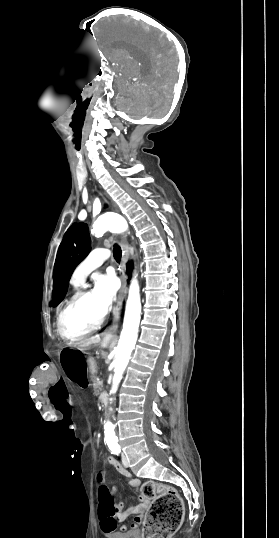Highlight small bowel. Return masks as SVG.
<instances>
[{
	"label": "small bowel",
	"mask_w": 279,
	"mask_h": 538,
	"mask_svg": "<svg viewBox=\"0 0 279 538\" xmlns=\"http://www.w3.org/2000/svg\"><path fill=\"white\" fill-rule=\"evenodd\" d=\"M107 462L114 466L116 470L124 475L125 477L129 478V485L132 487H138L140 485V480L137 478H132L131 474L127 469H125L116 459L112 457L107 458ZM113 492H116V489H113ZM141 503L136 506H130L127 509L123 511V504L117 505V512L113 517L110 518H101V528L104 532H111L114 531L117 527V525L121 522H123L127 517L134 515V520L130 525H121L120 530L122 532L126 531H134L138 528L140 523L142 522L145 511L148 507V501L145 497L142 495L140 496Z\"/></svg>",
	"instance_id": "small-bowel-1"
}]
</instances>
